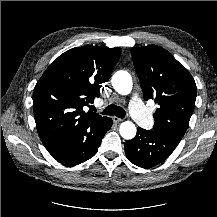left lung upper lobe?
Masks as SVG:
<instances>
[{"instance_id":"5c2ea615","label":"left lung upper lobe","mask_w":217,"mask_h":217,"mask_svg":"<svg viewBox=\"0 0 217 217\" xmlns=\"http://www.w3.org/2000/svg\"><path fill=\"white\" fill-rule=\"evenodd\" d=\"M131 54L144 99L158 104L153 129L180 141L195 107L193 77L160 46L132 48Z\"/></svg>"}]
</instances>
